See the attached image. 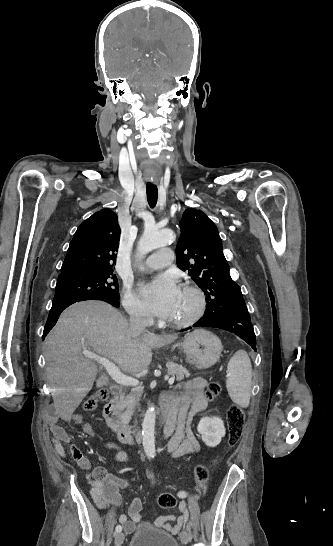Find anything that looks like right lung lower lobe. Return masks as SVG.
Wrapping results in <instances>:
<instances>
[{
	"instance_id": "1",
	"label": "right lung lower lobe",
	"mask_w": 333,
	"mask_h": 546,
	"mask_svg": "<svg viewBox=\"0 0 333 546\" xmlns=\"http://www.w3.org/2000/svg\"><path fill=\"white\" fill-rule=\"evenodd\" d=\"M90 299L102 300V301H105V302L111 304L114 307H119L120 306L119 299H115V298H112V297H109V296L94 297V298H88V299H82V300H90ZM82 300H74V301H70V302H61V303H53L52 308H51L50 313H49V316H48V320H47L45 328H44L43 339L48 334V332L53 328V326L57 322L58 317L61 314V312L66 307H68L69 305H71V304H73L75 302H78V301H82Z\"/></svg>"
}]
</instances>
